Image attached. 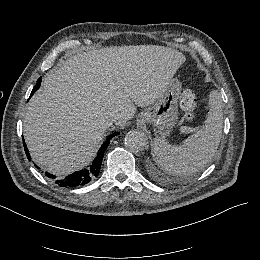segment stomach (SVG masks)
<instances>
[{
	"instance_id": "1",
	"label": "stomach",
	"mask_w": 260,
	"mask_h": 260,
	"mask_svg": "<svg viewBox=\"0 0 260 260\" xmlns=\"http://www.w3.org/2000/svg\"><path fill=\"white\" fill-rule=\"evenodd\" d=\"M182 83L173 78L164 93L139 115V124H152L156 134L167 136L178 120V98Z\"/></svg>"
}]
</instances>
